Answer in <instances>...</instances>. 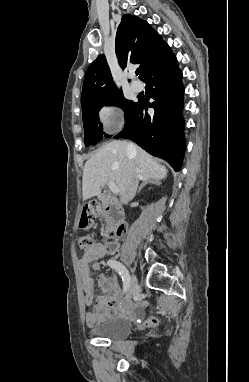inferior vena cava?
I'll list each match as a JSON object with an SVG mask.
<instances>
[{"label": "inferior vena cava", "instance_id": "inferior-vena-cava-1", "mask_svg": "<svg viewBox=\"0 0 249 382\" xmlns=\"http://www.w3.org/2000/svg\"><path fill=\"white\" fill-rule=\"evenodd\" d=\"M128 147H129V149L134 148L133 144H129ZM137 186H138V178L133 177L130 180V182L128 183L125 192L121 196V202L123 204H127L129 201H131L135 197L136 191H137Z\"/></svg>", "mask_w": 249, "mask_h": 382}]
</instances>
